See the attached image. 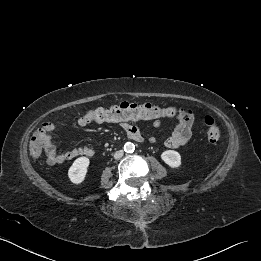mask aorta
Here are the masks:
<instances>
[{
	"label": "aorta",
	"instance_id": "1",
	"mask_svg": "<svg viewBox=\"0 0 261 261\" xmlns=\"http://www.w3.org/2000/svg\"><path fill=\"white\" fill-rule=\"evenodd\" d=\"M135 150V145L131 142H127L124 145V151L127 153H133Z\"/></svg>",
	"mask_w": 261,
	"mask_h": 261
}]
</instances>
